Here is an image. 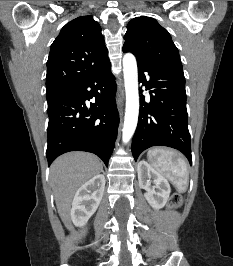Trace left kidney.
Wrapping results in <instances>:
<instances>
[{
    "mask_svg": "<svg viewBox=\"0 0 233 266\" xmlns=\"http://www.w3.org/2000/svg\"><path fill=\"white\" fill-rule=\"evenodd\" d=\"M139 186L146 191L145 199L154 209H161L167 203L171 188L165 177L145 160L138 163Z\"/></svg>",
    "mask_w": 233,
    "mask_h": 266,
    "instance_id": "obj_1",
    "label": "left kidney"
}]
</instances>
